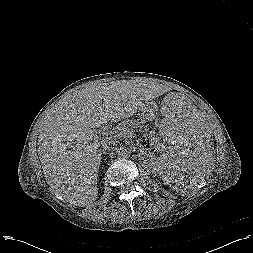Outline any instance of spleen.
Masks as SVG:
<instances>
[{
  "label": "spleen",
  "mask_w": 253,
  "mask_h": 253,
  "mask_svg": "<svg viewBox=\"0 0 253 253\" xmlns=\"http://www.w3.org/2000/svg\"><path fill=\"white\" fill-rule=\"evenodd\" d=\"M154 164L165 186L185 193L208 176L212 146L203 119L188 109L171 111L160 125Z\"/></svg>",
  "instance_id": "1"
}]
</instances>
